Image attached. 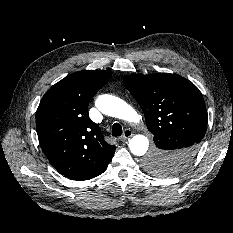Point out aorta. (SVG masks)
Segmentation results:
<instances>
[{"label":"aorta","mask_w":233,"mask_h":233,"mask_svg":"<svg viewBox=\"0 0 233 233\" xmlns=\"http://www.w3.org/2000/svg\"><path fill=\"white\" fill-rule=\"evenodd\" d=\"M96 107L108 116L128 122H139V114L125 101L113 95H101L96 100ZM149 146V140L144 135H136L129 141V149L136 156H143Z\"/></svg>","instance_id":"1"}]
</instances>
